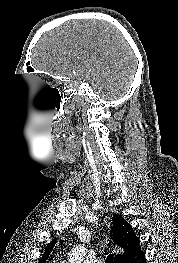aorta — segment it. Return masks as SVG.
Returning a JSON list of instances; mask_svg holds the SVG:
<instances>
[{
  "mask_svg": "<svg viewBox=\"0 0 178 263\" xmlns=\"http://www.w3.org/2000/svg\"><path fill=\"white\" fill-rule=\"evenodd\" d=\"M83 252H84V248L80 245L77 246L73 250V253L70 256L69 262L70 263H81Z\"/></svg>",
  "mask_w": 178,
  "mask_h": 263,
  "instance_id": "obj_1",
  "label": "aorta"
}]
</instances>
